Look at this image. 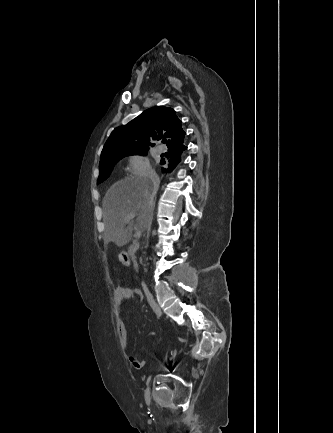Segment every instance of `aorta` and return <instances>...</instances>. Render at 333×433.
Listing matches in <instances>:
<instances>
[{
    "label": "aorta",
    "mask_w": 333,
    "mask_h": 433,
    "mask_svg": "<svg viewBox=\"0 0 333 433\" xmlns=\"http://www.w3.org/2000/svg\"><path fill=\"white\" fill-rule=\"evenodd\" d=\"M156 234V231L155 230H153L152 231V236H154Z\"/></svg>",
    "instance_id": "1"
}]
</instances>
